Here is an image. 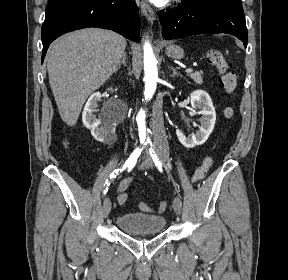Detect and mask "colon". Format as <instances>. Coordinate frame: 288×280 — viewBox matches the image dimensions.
<instances>
[{"instance_id": "5ec220e1", "label": "colon", "mask_w": 288, "mask_h": 280, "mask_svg": "<svg viewBox=\"0 0 288 280\" xmlns=\"http://www.w3.org/2000/svg\"><path fill=\"white\" fill-rule=\"evenodd\" d=\"M206 60L210 65L214 66L222 74L221 83L224 89L227 92H232L236 87L237 78L234 72L229 71L230 65L228 61L224 58L222 52L218 49H210L206 54ZM225 115L227 118L232 117V109L227 108L225 111ZM212 164L213 159L211 157H206L203 160L202 164L195 170L193 175V181L198 182L203 180L206 177ZM119 201L121 202V204H125L127 201V195H122ZM139 208L146 212L162 213L166 209V203L164 201H161L157 204L156 207L153 208L144 202H140Z\"/></svg>"}]
</instances>
